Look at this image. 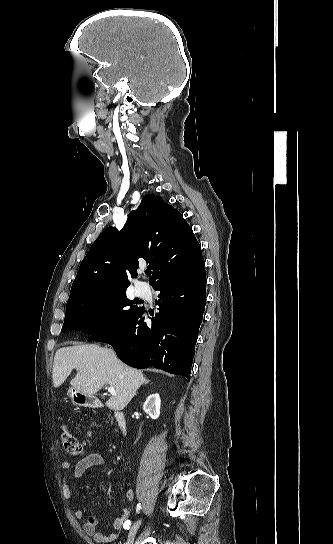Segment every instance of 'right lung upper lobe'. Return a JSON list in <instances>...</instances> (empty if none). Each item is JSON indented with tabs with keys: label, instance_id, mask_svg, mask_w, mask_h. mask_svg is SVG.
Here are the masks:
<instances>
[{
	"label": "right lung upper lobe",
	"instance_id": "right-lung-upper-lobe-1",
	"mask_svg": "<svg viewBox=\"0 0 333 544\" xmlns=\"http://www.w3.org/2000/svg\"><path fill=\"white\" fill-rule=\"evenodd\" d=\"M143 259L152 266L153 287L204 264L200 245L182 214L153 194L142 198L121 232L108 227L92 244L81 262L69 300L127 289Z\"/></svg>",
	"mask_w": 333,
	"mask_h": 544
}]
</instances>
